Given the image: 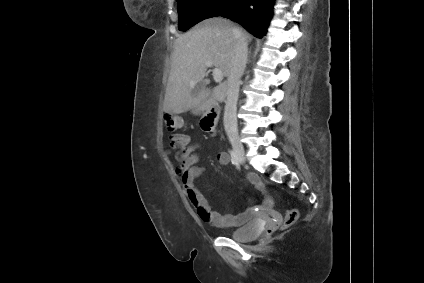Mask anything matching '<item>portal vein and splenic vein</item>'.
<instances>
[{
    "instance_id": "1",
    "label": "portal vein and splenic vein",
    "mask_w": 424,
    "mask_h": 283,
    "mask_svg": "<svg viewBox=\"0 0 424 283\" xmlns=\"http://www.w3.org/2000/svg\"><path fill=\"white\" fill-rule=\"evenodd\" d=\"M206 65L209 68H213L212 74H213L214 81L216 83H221L222 80H223V77H224L222 71L219 68H217V67H213L214 65H213V63L211 61H207L206 62Z\"/></svg>"
}]
</instances>
